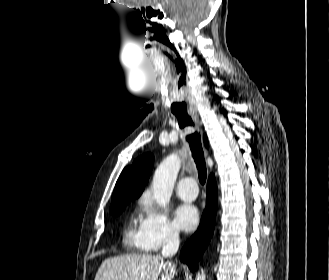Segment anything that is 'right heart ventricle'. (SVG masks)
<instances>
[{"label": "right heart ventricle", "mask_w": 329, "mask_h": 280, "mask_svg": "<svg viewBox=\"0 0 329 280\" xmlns=\"http://www.w3.org/2000/svg\"><path fill=\"white\" fill-rule=\"evenodd\" d=\"M125 245L130 249H136L139 251H148V245L143 234L142 222L138 221L134 216L124 235Z\"/></svg>", "instance_id": "1"}]
</instances>
